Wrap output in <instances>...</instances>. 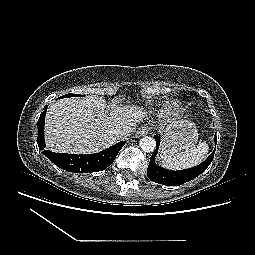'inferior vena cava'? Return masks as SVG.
I'll use <instances>...</instances> for the list:
<instances>
[{
	"label": "inferior vena cava",
	"instance_id": "1",
	"mask_svg": "<svg viewBox=\"0 0 255 255\" xmlns=\"http://www.w3.org/2000/svg\"><path fill=\"white\" fill-rule=\"evenodd\" d=\"M131 133V130L128 127H119L116 128L114 134L118 140L125 139Z\"/></svg>",
	"mask_w": 255,
	"mask_h": 255
}]
</instances>
